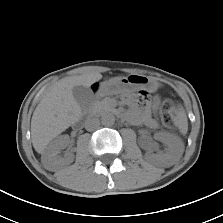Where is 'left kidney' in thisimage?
Here are the masks:
<instances>
[{
	"label": "left kidney",
	"mask_w": 223,
	"mask_h": 223,
	"mask_svg": "<svg viewBox=\"0 0 223 223\" xmlns=\"http://www.w3.org/2000/svg\"><path fill=\"white\" fill-rule=\"evenodd\" d=\"M155 139L162 142L166 148L157 154L147 152L146 158L159 165L170 166L177 163L183 154L182 142L169 133H156Z\"/></svg>",
	"instance_id": "1"
}]
</instances>
